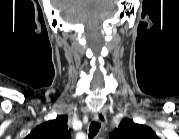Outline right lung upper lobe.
<instances>
[{"label": "right lung upper lobe", "instance_id": "obj_1", "mask_svg": "<svg viewBox=\"0 0 179 139\" xmlns=\"http://www.w3.org/2000/svg\"><path fill=\"white\" fill-rule=\"evenodd\" d=\"M67 117L59 116L36 127L27 139H69L70 133L67 126Z\"/></svg>", "mask_w": 179, "mask_h": 139}]
</instances>
